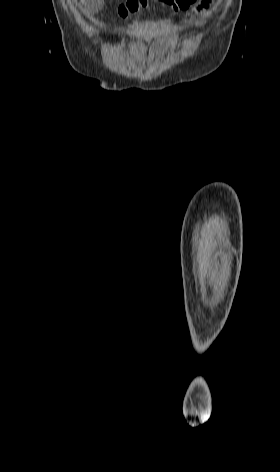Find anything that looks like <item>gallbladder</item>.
<instances>
[{
	"instance_id": "gallbladder-1",
	"label": "gallbladder",
	"mask_w": 280,
	"mask_h": 472,
	"mask_svg": "<svg viewBox=\"0 0 280 472\" xmlns=\"http://www.w3.org/2000/svg\"><path fill=\"white\" fill-rule=\"evenodd\" d=\"M86 4L90 13L96 14L102 10L104 0H86Z\"/></svg>"
}]
</instances>
